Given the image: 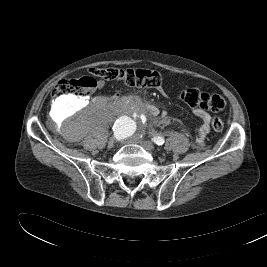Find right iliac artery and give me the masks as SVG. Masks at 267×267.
Returning a JSON list of instances; mask_svg holds the SVG:
<instances>
[{"mask_svg":"<svg viewBox=\"0 0 267 267\" xmlns=\"http://www.w3.org/2000/svg\"><path fill=\"white\" fill-rule=\"evenodd\" d=\"M115 128H113V130L115 131L114 132V135L117 139H122V137H124L125 135V129H124V125H123V122L122 123H119V124H115L114 126Z\"/></svg>","mask_w":267,"mask_h":267,"instance_id":"1","label":"right iliac artery"}]
</instances>
